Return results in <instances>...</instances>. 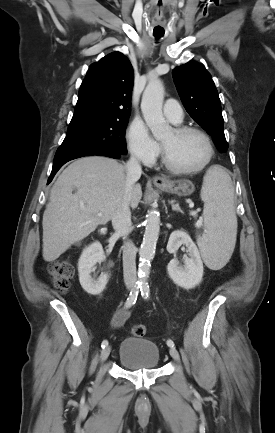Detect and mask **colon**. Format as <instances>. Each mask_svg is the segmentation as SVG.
<instances>
[{
  "label": "colon",
  "mask_w": 275,
  "mask_h": 433,
  "mask_svg": "<svg viewBox=\"0 0 275 433\" xmlns=\"http://www.w3.org/2000/svg\"><path fill=\"white\" fill-rule=\"evenodd\" d=\"M49 273L53 286L58 291L65 292L74 277V267L68 260H62L52 264ZM146 331L143 324H135L132 329L133 335L136 337H143Z\"/></svg>",
  "instance_id": "obj_1"
}]
</instances>
